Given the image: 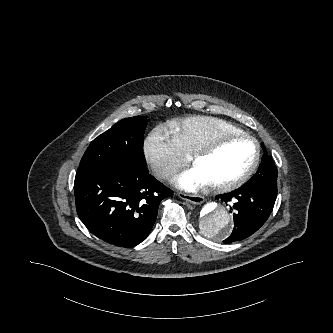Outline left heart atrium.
<instances>
[{"instance_id":"1","label":"left heart atrium","mask_w":333,"mask_h":333,"mask_svg":"<svg viewBox=\"0 0 333 333\" xmlns=\"http://www.w3.org/2000/svg\"><path fill=\"white\" fill-rule=\"evenodd\" d=\"M174 184L185 191H195L206 185L207 181L196 168H192L175 177Z\"/></svg>"}]
</instances>
